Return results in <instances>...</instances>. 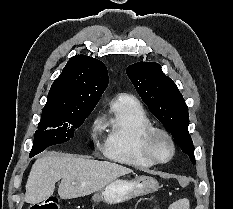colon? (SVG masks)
Wrapping results in <instances>:
<instances>
[{
  "label": "colon",
  "instance_id": "5ec220e1",
  "mask_svg": "<svg viewBox=\"0 0 233 209\" xmlns=\"http://www.w3.org/2000/svg\"><path fill=\"white\" fill-rule=\"evenodd\" d=\"M30 209H58V204L56 199L48 198L43 202L32 205Z\"/></svg>",
  "mask_w": 233,
  "mask_h": 209
}]
</instances>
